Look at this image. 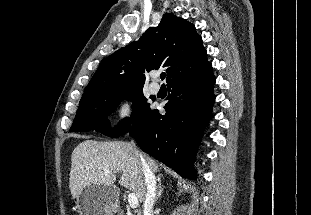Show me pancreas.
Masks as SVG:
<instances>
[{
    "label": "pancreas",
    "mask_w": 311,
    "mask_h": 215,
    "mask_svg": "<svg viewBox=\"0 0 311 215\" xmlns=\"http://www.w3.org/2000/svg\"><path fill=\"white\" fill-rule=\"evenodd\" d=\"M126 215H133L131 212H127V214Z\"/></svg>",
    "instance_id": "pancreas-1"
}]
</instances>
